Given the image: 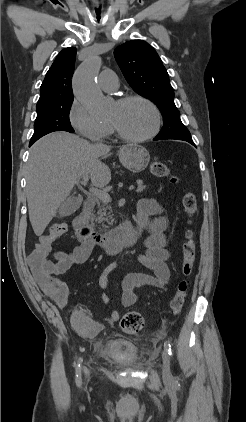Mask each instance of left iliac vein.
Here are the masks:
<instances>
[{
    "instance_id": "obj_1",
    "label": "left iliac vein",
    "mask_w": 246,
    "mask_h": 422,
    "mask_svg": "<svg viewBox=\"0 0 246 422\" xmlns=\"http://www.w3.org/2000/svg\"><path fill=\"white\" fill-rule=\"evenodd\" d=\"M162 376L165 381L171 379V370H170V357L166 350L162 351Z\"/></svg>"
}]
</instances>
